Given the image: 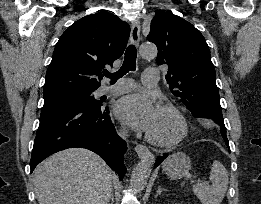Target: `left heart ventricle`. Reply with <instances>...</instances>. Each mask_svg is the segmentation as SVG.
I'll return each mask as SVG.
<instances>
[{"label": "left heart ventricle", "mask_w": 261, "mask_h": 204, "mask_svg": "<svg viewBox=\"0 0 261 204\" xmlns=\"http://www.w3.org/2000/svg\"><path fill=\"white\" fill-rule=\"evenodd\" d=\"M179 130L178 121L175 116L163 109L157 108L155 118L148 133L157 139H171Z\"/></svg>", "instance_id": "1"}]
</instances>
